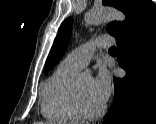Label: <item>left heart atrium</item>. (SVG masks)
<instances>
[{"label":"left heart atrium","instance_id":"obj_1","mask_svg":"<svg viewBox=\"0 0 156 124\" xmlns=\"http://www.w3.org/2000/svg\"><path fill=\"white\" fill-rule=\"evenodd\" d=\"M93 89L98 98L105 103L112 90V81L109 71L100 67L95 78L92 79Z\"/></svg>","mask_w":156,"mask_h":124}]
</instances>
